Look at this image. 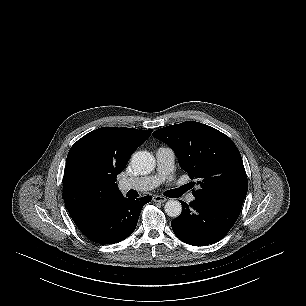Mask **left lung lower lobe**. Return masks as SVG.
Here are the masks:
<instances>
[{
    "instance_id": "obj_1",
    "label": "left lung lower lobe",
    "mask_w": 306,
    "mask_h": 306,
    "mask_svg": "<svg viewBox=\"0 0 306 306\" xmlns=\"http://www.w3.org/2000/svg\"><path fill=\"white\" fill-rule=\"evenodd\" d=\"M183 207L179 217L172 220L175 235L185 243L204 246L221 240L236 222L242 204L225 200L196 199Z\"/></svg>"
}]
</instances>
